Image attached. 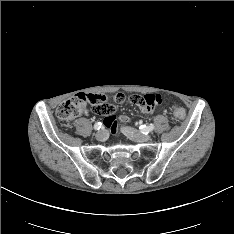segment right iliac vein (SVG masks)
<instances>
[{"label": "right iliac vein", "mask_w": 234, "mask_h": 234, "mask_svg": "<svg viewBox=\"0 0 234 234\" xmlns=\"http://www.w3.org/2000/svg\"><path fill=\"white\" fill-rule=\"evenodd\" d=\"M107 135H108L107 131H106L105 129H103V130L98 131V132L95 134V137H96V139L99 140V141H104V140H106Z\"/></svg>", "instance_id": "63e3f726"}]
</instances>
